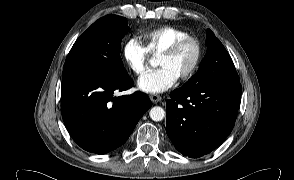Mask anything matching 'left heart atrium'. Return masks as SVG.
<instances>
[{
    "label": "left heart atrium",
    "mask_w": 294,
    "mask_h": 180,
    "mask_svg": "<svg viewBox=\"0 0 294 180\" xmlns=\"http://www.w3.org/2000/svg\"><path fill=\"white\" fill-rule=\"evenodd\" d=\"M178 78L166 67L143 74L138 80V88L145 93L160 94L173 87Z\"/></svg>",
    "instance_id": "1"
}]
</instances>
